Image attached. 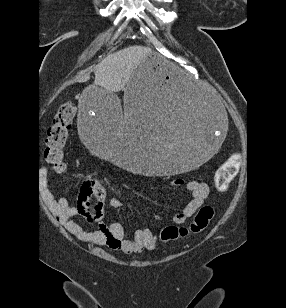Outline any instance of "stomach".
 Returning a JSON list of instances; mask_svg holds the SVG:
<instances>
[{"instance_id":"stomach-1","label":"stomach","mask_w":286,"mask_h":308,"mask_svg":"<svg viewBox=\"0 0 286 308\" xmlns=\"http://www.w3.org/2000/svg\"><path fill=\"white\" fill-rule=\"evenodd\" d=\"M167 55L138 60L124 95L105 85L81 89L75 124L81 142L101 161L133 168L140 177H182L226 144L227 112L215 91L189 81Z\"/></svg>"}]
</instances>
